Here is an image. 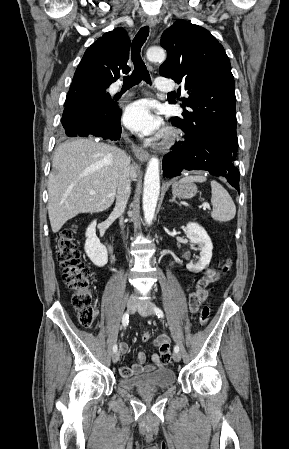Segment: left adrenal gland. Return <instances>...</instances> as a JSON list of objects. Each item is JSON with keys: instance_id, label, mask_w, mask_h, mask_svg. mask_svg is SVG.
Wrapping results in <instances>:
<instances>
[{"instance_id": "1", "label": "left adrenal gland", "mask_w": 289, "mask_h": 449, "mask_svg": "<svg viewBox=\"0 0 289 449\" xmlns=\"http://www.w3.org/2000/svg\"><path fill=\"white\" fill-rule=\"evenodd\" d=\"M169 202H175V203L179 204V203L176 201L175 196H173L172 199L169 200Z\"/></svg>"}]
</instances>
